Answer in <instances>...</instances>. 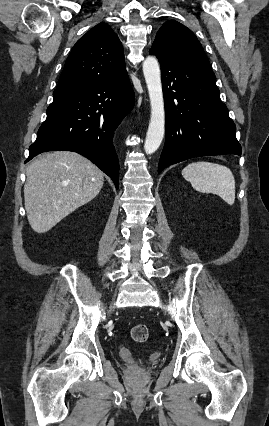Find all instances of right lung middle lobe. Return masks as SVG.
Listing matches in <instances>:
<instances>
[{"instance_id":"right-lung-middle-lobe-1","label":"right lung middle lobe","mask_w":269,"mask_h":426,"mask_svg":"<svg viewBox=\"0 0 269 426\" xmlns=\"http://www.w3.org/2000/svg\"><path fill=\"white\" fill-rule=\"evenodd\" d=\"M61 94H62V93H56V92H54V93H53V97H54V98H56V97H58V96H59V95H61Z\"/></svg>"}]
</instances>
